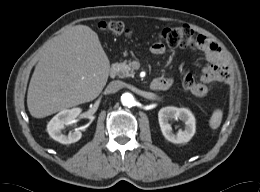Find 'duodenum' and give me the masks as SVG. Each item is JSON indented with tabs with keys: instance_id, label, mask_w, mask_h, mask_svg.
Segmentation results:
<instances>
[{
	"instance_id": "1",
	"label": "duodenum",
	"mask_w": 260,
	"mask_h": 192,
	"mask_svg": "<svg viewBox=\"0 0 260 192\" xmlns=\"http://www.w3.org/2000/svg\"><path fill=\"white\" fill-rule=\"evenodd\" d=\"M115 73H116L115 69H113V68L110 69L109 74H110L111 77H114ZM165 86H166L165 83L161 79H159V78L154 79L151 82V85H150L151 89L154 90V91L164 90Z\"/></svg>"
}]
</instances>
